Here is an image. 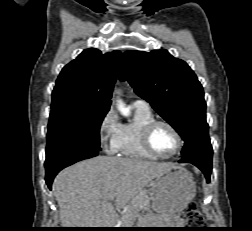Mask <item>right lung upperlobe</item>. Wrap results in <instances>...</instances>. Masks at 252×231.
<instances>
[{
  "instance_id": "cb5924a9",
  "label": "right lung upper lobe",
  "mask_w": 252,
  "mask_h": 231,
  "mask_svg": "<svg viewBox=\"0 0 252 231\" xmlns=\"http://www.w3.org/2000/svg\"><path fill=\"white\" fill-rule=\"evenodd\" d=\"M120 56L118 50L102 54L98 49H85L62 69L52 102L109 109Z\"/></svg>"
}]
</instances>
